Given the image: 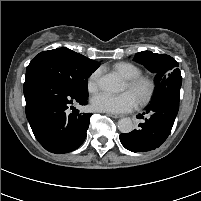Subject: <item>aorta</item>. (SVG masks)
I'll return each instance as SVG.
<instances>
[{"mask_svg":"<svg viewBox=\"0 0 201 201\" xmlns=\"http://www.w3.org/2000/svg\"><path fill=\"white\" fill-rule=\"evenodd\" d=\"M98 85L101 90L117 93L123 90V83L114 74H106L99 79ZM118 129L121 133H130L133 130V122L130 118H122L118 121Z\"/></svg>","mask_w":201,"mask_h":201,"instance_id":"1","label":"aorta"}]
</instances>
